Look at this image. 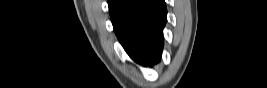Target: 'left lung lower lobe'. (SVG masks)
Returning a JSON list of instances; mask_svg holds the SVG:
<instances>
[{"label":"left lung lower lobe","instance_id":"1","mask_svg":"<svg viewBox=\"0 0 267 88\" xmlns=\"http://www.w3.org/2000/svg\"><path fill=\"white\" fill-rule=\"evenodd\" d=\"M114 31L132 59L144 65L158 62L166 23L164 0H108Z\"/></svg>","mask_w":267,"mask_h":88}]
</instances>
